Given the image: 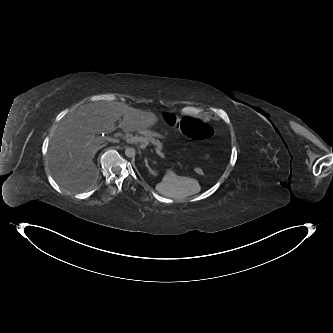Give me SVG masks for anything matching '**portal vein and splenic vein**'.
Masks as SVG:
<instances>
[{"label": "portal vein and splenic vein", "mask_w": 333, "mask_h": 333, "mask_svg": "<svg viewBox=\"0 0 333 333\" xmlns=\"http://www.w3.org/2000/svg\"><path fill=\"white\" fill-rule=\"evenodd\" d=\"M123 139H125L128 142H140V143L148 144L147 139L144 137H138V136L124 137ZM154 149H155V152L157 155H159L161 158H165V156L161 153V151L157 147H154Z\"/></svg>", "instance_id": "obj_1"}]
</instances>
